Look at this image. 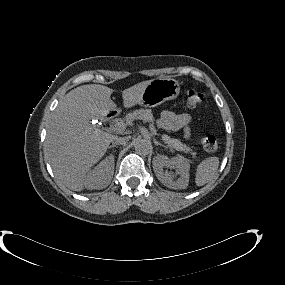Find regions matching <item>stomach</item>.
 I'll use <instances>...</instances> for the list:
<instances>
[{"label":"stomach","instance_id":"1","mask_svg":"<svg viewBox=\"0 0 285 285\" xmlns=\"http://www.w3.org/2000/svg\"><path fill=\"white\" fill-rule=\"evenodd\" d=\"M179 93L180 86L175 79L156 78L151 80L144 88L139 104L146 107H155L165 101L176 99Z\"/></svg>","mask_w":285,"mask_h":285}]
</instances>
